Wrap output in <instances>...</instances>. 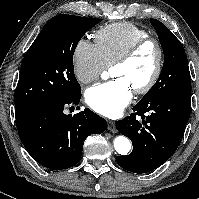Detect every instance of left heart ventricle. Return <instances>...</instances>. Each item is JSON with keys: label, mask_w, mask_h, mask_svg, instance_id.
Listing matches in <instances>:
<instances>
[{"label": "left heart ventricle", "mask_w": 199, "mask_h": 199, "mask_svg": "<svg viewBox=\"0 0 199 199\" xmlns=\"http://www.w3.org/2000/svg\"><path fill=\"white\" fill-rule=\"evenodd\" d=\"M156 62V51L152 45L141 49L126 65L111 69L114 78H123L132 89L144 85L151 76Z\"/></svg>", "instance_id": "obj_1"}]
</instances>
